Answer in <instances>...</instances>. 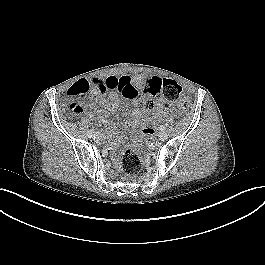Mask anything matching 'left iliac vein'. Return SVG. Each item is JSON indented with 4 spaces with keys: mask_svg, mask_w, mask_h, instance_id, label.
Returning a JSON list of instances; mask_svg holds the SVG:
<instances>
[{
    "mask_svg": "<svg viewBox=\"0 0 265 265\" xmlns=\"http://www.w3.org/2000/svg\"><path fill=\"white\" fill-rule=\"evenodd\" d=\"M168 138V134L165 131L159 133V140L164 141Z\"/></svg>",
    "mask_w": 265,
    "mask_h": 265,
    "instance_id": "4c4485c4",
    "label": "left iliac vein"
}]
</instances>
